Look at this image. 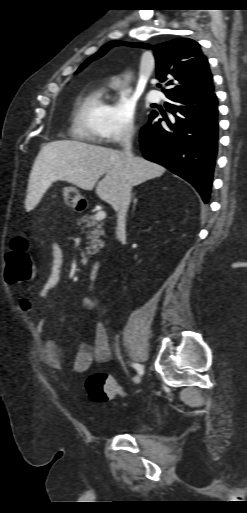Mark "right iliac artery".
Here are the masks:
<instances>
[{
  "mask_svg": "<svg viewBox=\"0 0 247 513\" xmlns=\"http://www.w3.org/2000/svg\"><path fill=\"white\" fill-rule=\"evenodd\" d=\"M132 366L137 370V372L142 375L144 373V368L142 365L138 363H132Z\"/></svg>",
  "mask_w": 247,
  "mask_h": 513,
  "instance_id": "right-iliac-artery-1",
  "label": "right iliac artery"
}]
</instances>
